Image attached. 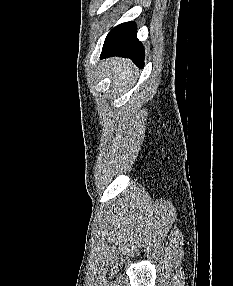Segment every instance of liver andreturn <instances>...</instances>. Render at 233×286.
Here are the masks:
<instances>
[{
  "mask_svg": "<svg viewBox=\"0 0 233 286\" xmlns=\"http://www.w3.org/2000/svg\"><path fill=\"white\" fill-rule=\"evenodd\" d=\"M115 87L126 86L132 79V63L127 59L113 58L106 61Z\"/></svg>",
  "mask_w": 233,
  "mask_h": 286,
  "instance_id": "obj_1",
  "label": "liver"
}]
</instances>
